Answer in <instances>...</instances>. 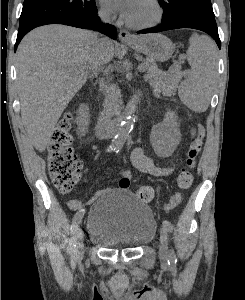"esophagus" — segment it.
Listing matches in <instances>:
<instances>
[{"mask_svg": "<svg viewBox=\"0 0 245 300\" xmlns=\"http://www.w3.org/2000/svg\"><path fill=\"white\" fill-rule=\"evenodd\" d=\"M119 39L121 42H131L134 41L136 38L129 31L122 29L119 32Z\"/></svg>", "mask_w": 245, "mask_h": 300, "instance_id": "34e87169", "label": "esophagus"}]
</instances>
